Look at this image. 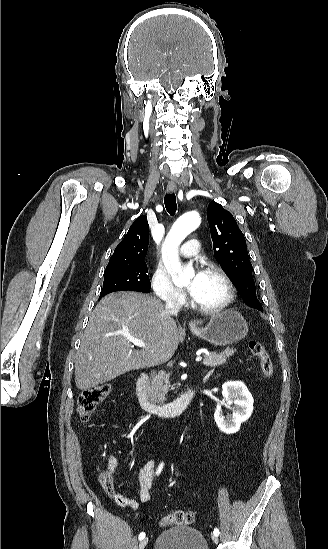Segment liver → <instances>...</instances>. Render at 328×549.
<instances>
[{
  "label": "liver",
  "mask_w": 328,
  "mask_h": 549,
  "mask_svg": "<svg viewBox=\"0 0 328 549\" xmlns=\"http://www.w3.org/2000/svg\"><path fill=\"white\" fill-rule=\"evenodd\" d=\"M127 337L144 341L145 347L135 351ZM179 343L176 321L161 301L141 293H111L95 307L81 337L76 387L87 391L128 371L166 363Z\"/></svg>",
  "instance_id": "liver-1"
}]
</instances>
